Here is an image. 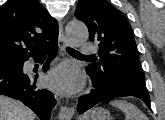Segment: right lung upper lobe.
Listing matches in <instances>:
<instances>
[{
  "instance_id": "obj_1",
  "label": "right lung upper lobe",
  "mask_w": 165,
  "mask_h": 120,
  "mask_svg": "<svg viewBox=\"0 0 165 120\" xmlns=\"http://www.w3.org/2000/svg\"><path fill=\"white\" fill-rule=\"evenodd\" d=\"M57 40V21L38 0H9L0 7V63L41 53Z\"/></svg>"
}]
</instances>
